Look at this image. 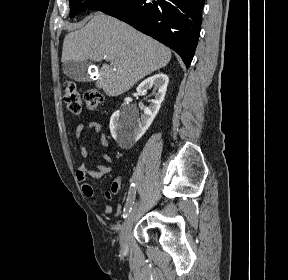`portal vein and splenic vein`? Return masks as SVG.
<instances>
[{"label": "portal vein and splenic vein", "instance_id": "portal-vein-and-splenic-vein-1", "mask_svg": "<svg viewBox=\"0 0 288 280\" xmlns=\"http://www.w3.org/2000/svg\"><path fill=\"white\" fill-rule=\"evenodd\" d=\"M104 58L107 59V60L110 59L108 56H105Z\"/></svg>", "mask_w": 288, "mask_h": 280}]
</instances>
